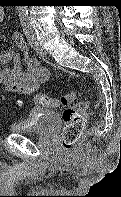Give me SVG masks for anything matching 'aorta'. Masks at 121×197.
<instances>
[{"label":"aorta","mask_w":121,"mask_h":197,"mask_svg":"<svg viewBox=\"0 0 121 197\" xmlns=\"http://www.w3.org/2000/svg\"><path fill=\"white\" fill-rule=\"evenodd\" d=\"M17 12L19 14V17L23 20H26L28 18V10L27 6H18Z\"/></svg>","instance_id":"762f6f07"}]
</instances>
